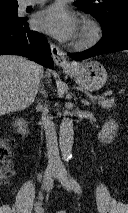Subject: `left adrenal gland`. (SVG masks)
Masks as SVG:
<instances>
[{"label": "left adrenal gland", "instance_id": "left-adrenal-gland-1", "mask_svg": "<svg viewBox=\"0 0 128 213\" xmlns=\"http://www.w3.org/2000/svg\"><path fill=\"white\" fill-rule=\"evenodd\" d=\"M82 103H83V105H85V106H89V105H90V103H89L87 100H83Z\"/></svg>", "mask_w": 128, "mask_h": 213}]
</instances>
